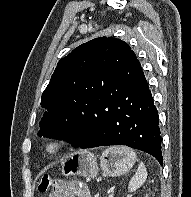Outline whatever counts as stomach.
<instances>
[{
	"mask_svg": "<svg viewBox=\"0 0 191 197\" xmlns=\"http://www.w3.org/2000/svg\"><path fill=\"white\" fill-rule=\"evenodd\" d=\"M132 163L124 156L111 151L103 152L98 166L96 156L88 150H80L71 154L62 163V174L64 176L80 175L83 177L96 176L101 170L104 176L116 177L125 173Z\"/></svg>",
	"mask_w": 191,
	"mask_h": 197,
	"instance_id": "0dacf381",
	"label": "stomach"
}]
</instances>
